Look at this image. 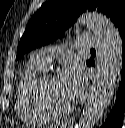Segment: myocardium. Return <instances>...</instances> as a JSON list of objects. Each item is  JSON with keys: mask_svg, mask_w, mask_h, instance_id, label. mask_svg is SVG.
Here are the masks:
<instances>
[{"mask_svg": "<svg viewBox=\"0 0 125 128\" xmlns=\"http://www.w3.org/2000/svg\"><path fill=\"white\" fill-rule=\"evenodd\" d=\"M53 77H55L53 72H43L34 84L33 94L38 107L45 115H47L50 119H59L70 114L74 109V105L70 104L67 107L57 109L52 107L47 102L44 95V86L47 81Z\"/></svg>", "mask_w": 125, "mask_h": 128, "instance_id": "myocardium-1", "label": "myocardium"}]
</instances>
